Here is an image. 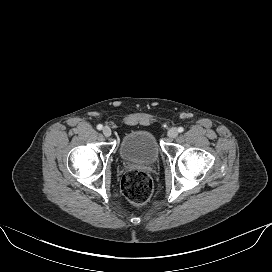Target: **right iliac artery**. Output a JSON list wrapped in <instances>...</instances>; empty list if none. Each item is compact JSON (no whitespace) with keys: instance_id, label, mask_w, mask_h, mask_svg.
<instances>
[{"instance_id":"right-iliac-artery-1","label":"right iliac artery","mask_w":272,"mask_h":272,"mask_svg":"<svg viewBox=\"0 0 272 272\" xmlns=\"http://www.w3.org/2000/svg\"><path fill=\"white\" fill-rule=\"evenodd\" d=\"M102 128H103V126H102L101 124H98V125H97V129H98V130H101Z\"/></svg>"}]
</instances>
